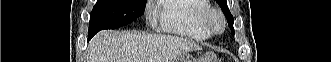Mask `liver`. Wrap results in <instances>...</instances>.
I'll return each instance as SVG.
<instances>
[{
	"label": "liver",
	"instance_id": "1",
	"mask_svg": "<svg viewBox=\"0 0 331 62\" xmlns=\"http://www.w3.org/2000/svg\"><path fill=\"white\" fill-rule=\"evenodd\" d=\"M199 45L186 38L135 31H103L89 45L87 62H171Z\"/></svg>",
	"mask_w": 331,
	"mask_h": 62
}]
</instances>
